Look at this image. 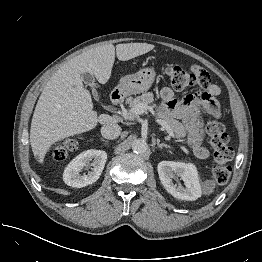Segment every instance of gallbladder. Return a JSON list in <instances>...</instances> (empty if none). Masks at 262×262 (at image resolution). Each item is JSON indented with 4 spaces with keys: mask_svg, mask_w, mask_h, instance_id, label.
<instances>
[{
    "mask_svg": "<svg viewBox=\"0 0 262 262\" xmlns=\"http://www.w3.org/2000/svg\"><path fill=\"white\" fill-rule=\"evenodd\" d=\"M81 79H82V81H83L85 84H87V85H89V86H91V87H94V86H95V77H94L93 74H91V73H83V74L81 75ZM92 93H93L94 96H97V93H96L95 90H93Z\"/></svg>",
    "mask_w": 262,
    "mask_h": 262,
    "instance_id": "gallbladder-1",
    "label": "gallbladder"
}]
</instances>
